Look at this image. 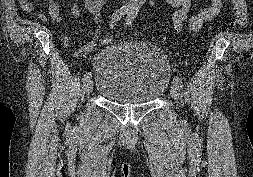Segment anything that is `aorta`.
Listing matches in <instances>:
<instances>
[{"instance_id":"1","label":"aorta","mask_w":253,"mask_h":177,"mask_svg":"<svg viewBox=\"0 0 253 177\" xmlns=\"http://www.w3.org/2000/svg\"><path fill=\"white\" fill-rule=\"evenodd\" d=\"M132 2H134L137 5H141L143 4L146 0H131Z\"/></svg>"}]
</instances>
